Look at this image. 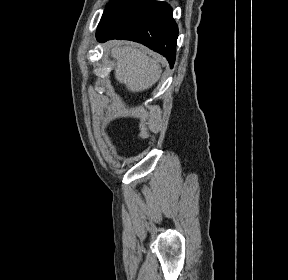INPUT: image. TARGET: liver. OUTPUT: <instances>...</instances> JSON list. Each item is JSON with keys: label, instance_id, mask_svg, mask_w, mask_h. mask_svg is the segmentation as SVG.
Masks as SVG:
<instances>
[{"label": "liver", "instance_id": "obj_1", "mask_svg": "<svg viewBox=\"0 0 288 280\" xmlns=\"http://www.w3.org/2000/svg\"><path fill=\"white\" fill-rule=\"evenodd\" d=\"M116 59L115 78L132 92L151 88L160 78L162 70L157 60L147 55L138 45L119 43L111 50Z\"/></svg>", "mask_w": 288, "mask_h": 280}]
</instances>
